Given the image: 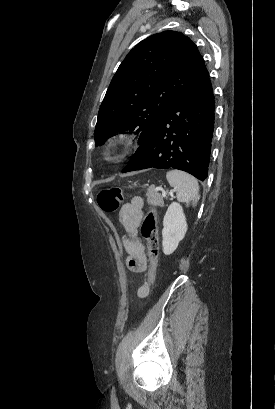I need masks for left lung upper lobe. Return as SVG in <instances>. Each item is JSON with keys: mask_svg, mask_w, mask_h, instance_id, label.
I'll return each instance as SVG.
<instances>
[{"mask_svg": "<svg viewBox=\"0 0 275 409\" xmlns=\"http://www.w3.org/2000/svg\"><path fill=\"white\" fill-rule=\"evenodd\" d=\"M208 75L197 46L164 31L137 44L114 75L100 106L96 146L117 131H142V144L167 110Z\"/></svg>", "mask_w": 275, "mask_h": 409, "instance_id": "1", "label": "left lung upper lobe"}]
</instances>
